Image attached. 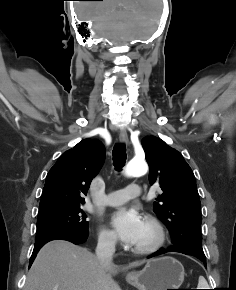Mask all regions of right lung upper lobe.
<instances>
[{
    "label": "right lung upper lobe",
    "instance_id": "1",
    "mask_svg": "<svg viewBox=\"0 0 236 290\" xmlns=\"http://www.w3.org/2000/svg\"><path fill=\"white\" fill-rule=\"evenodd\" d=\"M105 160L98 140L85 139L64 152L47 174L39 208L81 205Z\"/></svg>",
    "mask_w": 236,
    "mask_h": 290
}]
</instances>
